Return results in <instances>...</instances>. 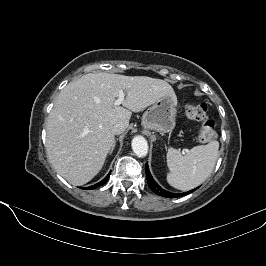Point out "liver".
Listing matches in <instances>:
<instances>
[{"label": "liver", "mask_w": 266, "mask_h": 266, "mask_svg": "<svg viewBox=\"0 0 266 266\" xmlns=\"http://www.w3.org/2000/svg\"><path fill=\"white\" fill-rule=\"evenodd\" d=\"M119 90L126 92L125 108L113 104ZM167 96L177 102L170 84L147 76L88 73L70 82L47 119L49 162L69 183L80 186L89 182L102 169L115 144L111 122L122 120L128 127L132 112Z\"/></svg>", "instance_id": "obj_1"}]
</instances>
